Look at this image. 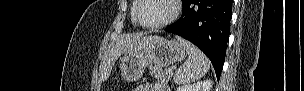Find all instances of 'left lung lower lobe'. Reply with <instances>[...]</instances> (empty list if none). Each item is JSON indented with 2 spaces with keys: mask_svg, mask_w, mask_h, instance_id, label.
Returning <instances> with one entry per match:
<instances>
[{
  "mask_svg": "<svg viewBox=\"0 0 304 91\" xmlns=\"http://www.w3.org/2000/svg\"><path fill=\"white\" fill-rule=\"evenodd\" d=\"M181 18L165 31L195 44L210 59L219 80L230 34L231 0H182Z\"/></svg>",
  "mask_w": 304,
  "mask_h": 91,
  "instance_id": "1",
  "label": "left lung lower lobe"
}]
</instances>
